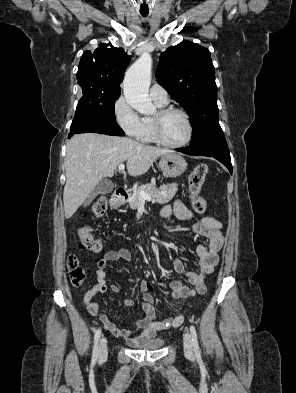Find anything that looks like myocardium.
Returning a JSON list of instances; mask_svg holds the SVG:
<instances>
[{
  "label": "myocardium",
  "mask_w": 296,
  "mask_h": 393,
  "mask_svg": "<svg viewBox=\"0 0 296 393\" xmlns=\"http://www.w3.org/2000/svg\"><path fill=\"white\" fill-rule=\"evenodd\" d=\"M172 113H178V114L182 115L184 117L187 127H188L187 137L182 142H179V143H169L162 136V122L168 115H170ZM152 124H153V134H154L155 142H157L158 144H160L164 147L173 148V149L182 148V147L186 146L192 140L193 124H192L191 118L186 111H184L180 108L167 107V108L159 109L156 112V114L154 115V117L152 118Z\"/></svg>",
  "instance_id": "1"
}]
</instances>
